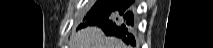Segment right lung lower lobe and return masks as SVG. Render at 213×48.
I'll use <instances>...</instances> for the list:
<instances>
[{"mask_svg": "<svg viewBox=\"0 0 213 48\" xmlns=\"http://www.w3.org/2000/svg\"><path fill=\"white\" fill-rule=\"evenodd\" d=\"M133 0H97L87 13L85 23L79 27L97 25L107 36L121 38L126 44L135 45L132 35V14L127 12Z\"/></svg>", "mask_w": 213, "mask_h": 48, "instance_id": "obj_1", "label": "right lung lower lobe"}]
</instances>
